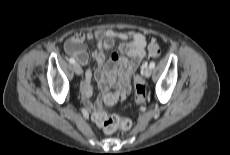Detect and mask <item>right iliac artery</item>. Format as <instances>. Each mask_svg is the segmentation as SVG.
<instances>
[{"label":"right iliac artery","instance_id":"obj_1","mask_svg":"<svg viewBox=\"0 0 230 155\" xmlns=\"http://www.w3.org/2000/svg\"><path fill=\"white\" fill-rule=\"evenodd\" d=\"M69 62L72 63V64H74V63H75L74 58H70V59H69Z\"/></svg>","mask_w":230,"mask_h":155}]
</instances>
